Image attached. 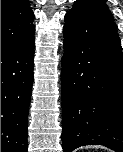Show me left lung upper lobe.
Segmentation results:
<instances>
[{"label": "left lung upper lobe", "instance_id": "1", "mask_svg": "<svg viewBox=\"0 0 123 152\" xmlns=\"http://www.w3.org/2000/svg\"><path fill=\"white\" fill-rule=\"evenodd\" d=\"M84 3L91 7L98 9L99 11L107 14L111 19H113L112 15L104 1H102V0H77L74 3V6H76L78 4H84Z\"/></svg>", "mask_w": 123, "mask_h": 152}]
</instances>
